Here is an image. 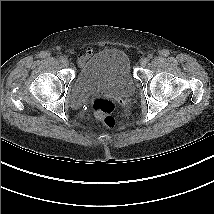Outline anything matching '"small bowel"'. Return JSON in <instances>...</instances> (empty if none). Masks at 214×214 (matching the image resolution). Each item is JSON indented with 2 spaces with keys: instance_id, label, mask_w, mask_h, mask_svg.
I'll return each instance as SVG.
<instances>
[{
  "instance_id": "1",
  "label": "small bowel",
  "mask_w": 214,
  "mask_h": 214,
  "mask_svg": "<svg viewBox=\"0 0 214 214\" xmlns=\"http://www.w3.org/2000/svg\"><path fill=\"white\" fill-rule=\"evenodd\" d=\"M94 55V49L88 47L85 51L78 55V64L82 66L88 59L92 58Z\"/></svg>"
}]
</instances>
